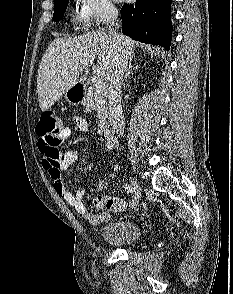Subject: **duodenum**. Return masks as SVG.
Returning <instances> with one entry per match:
<instances>
[{
	"mask_svg": "<svg viewBox=\"0 0 233 294\" xmlns=\"http://www.w3.org/2000/svg\"><path fill=\"white\" fill-rule=\"evenodd\" d=\"M74 94L77 97L83 96L84 86L82 84H76L73 88ZM102 140L110 147L116 146L117 140L113 131L109 128H104L101 131Z\"/></svg>",
	"mask_w": 233,
	"mask_h": 294,
	"instance_id": "obj_1",
	"label": "duodenum"
}]
</instances>
